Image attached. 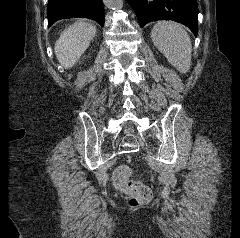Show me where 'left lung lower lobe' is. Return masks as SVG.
Segmentation results:
<instances>
[{
	"mask_svg": "<svg viewBox=\"0 0 240 238\" xmlns=\"http://www.w3.org/2000/svg\"><path fill=\"white\" fill-rule=\"evenodd\" d=\"M140 26L153 20H173L198 33L197 0H127Z\"/></svg>",
	"mask_w": 240,
	"mask_h": 238,
	"instance_id": "obj_1",
	"label": "left lung lower lobe"
}]
</instances>
